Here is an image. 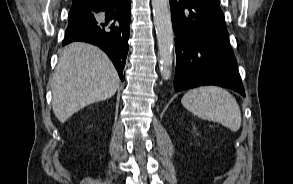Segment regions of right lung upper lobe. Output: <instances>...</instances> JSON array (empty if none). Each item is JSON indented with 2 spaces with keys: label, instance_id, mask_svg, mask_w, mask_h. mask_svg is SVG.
Here are the masks:
<instances>
[{
  "label": "right lung upper lobe",
  "instance_id": "cb5924a9",
  "mask_svg": "<svg viewBox=\"0 0 293 184\" xmlns=\"http://www.w3.org/2000/svg\"><path fill=\"white\" fill-rule=\"evenodd\" d=\"M90 1H96V0H73L72 3L73 4H77V3H82V2H90Z\"/></svg>",
  "mask_w": 293,
  "mask_h": 184
}]
</instances>
